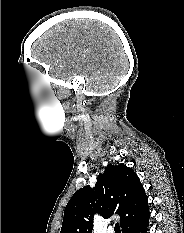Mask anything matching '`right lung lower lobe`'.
<instances>
[{"label":"right lung lower lobe","instance_id":"right-lung-lower-lobe-1","mask_svg":"<svg viewBox=\"0 0 184 233\" xmlns=\"http://www.w3.org/2000/svg\"><path fill=\"white\" fill-rule=\"evenodd\" d=\"M149 217V207H147L141 214L122 226V233H147Z\"/></svg>","mask_w":184,"mask_h":233}]
</instances>
